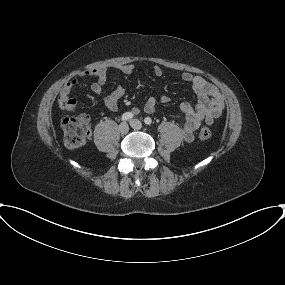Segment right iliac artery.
I'll return each mask as SVG.
<instances>
[{"instance_id":"obj_1","label":"right iliac artery","mask_w":285,"mask_h":285,"mask_svg":"<svg viewBox=\"0 0 285 285\" xmlns=\"http://www.w3.org/2000/svg\"><path fill=\"white\" fill-rule=\"evenodd\" d=\"M131 118H133V114L131 112H126L121 117L123 121L130 120Z\"/></svg>"}]
</instances>
